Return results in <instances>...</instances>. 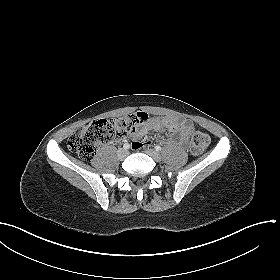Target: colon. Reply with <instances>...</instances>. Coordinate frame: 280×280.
<instances>
[{
	"instance_id": "1",
	"label": "colon",
	"mask_w": 280,
	"mask_h": 280,
	"mask_svg": "<svg viewBox=\"0 0 280 280\" xmlns=\"http://www.w3.org/2000/svg\"><path fill=\"white\" fill-rule=\"evenodd\" d=\"M147 120L145 113H136L122 119H98L77 129L68 140V148L83 160H91L97 148L111 142L117 137H123L136 130V127ZM209 136L201 131H194L190 137V149L193 155L201 154L209 145ZM143 144L133 142V149H139Z\"/></svg>"
}]
</instances>
